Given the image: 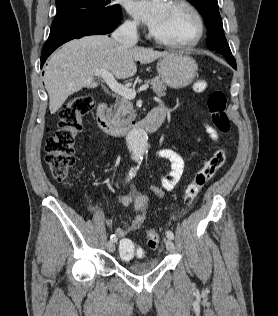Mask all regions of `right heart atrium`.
Masks as SVG:
<instances>
[{
	"mask_svg": "<svg viewBox=\"0 0 278 316\" xmlns=\"http://www.w3.org/2000/svg\"><path fill=\"white\" fill-rule=\"evenodd\" d=\"M124 27L129 32H136L139 28V23L136 20L129 19L125 22Z\"/></svg>",
	"mask_w": 278,
	"mask_h": 316,
	"instance_id": "d8ad5b80",
	"label": "right heart atrium"
}]
</instances>
